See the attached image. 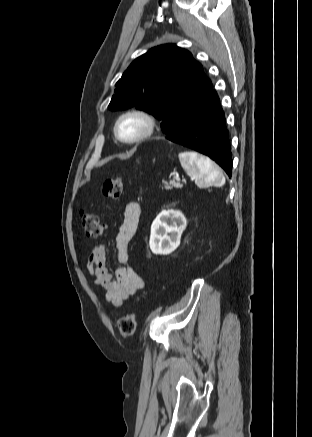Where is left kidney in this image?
<instances>
[{"mask_svg": "<svg viewBox=\"0 0 312 437\" xmlns=\"http://www.w3.org/2000/svg\"><path fill=\"white\" fill-rule=\"evenodd\" d=\"M187 221L178 210H163L151 225L149 246L154 254L168 255L179 245Z\"/></svg>", "mask_w": 312, "mask_h": 437, "instance_id": "5707ae66", "label": "left kidney"}]
</instances>
